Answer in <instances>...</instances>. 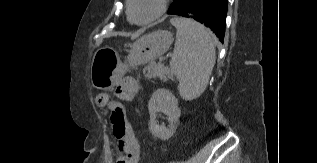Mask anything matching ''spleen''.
<instances>
[{
    "mask_svg": "<svg viewBox=\"0 0 317 163\" xmlns=\"http://www.w3.org/2000/svg\"><path fill=\"white\" fill-rule=\"evenodd\" d=\"M170 23L177 29L170 70L179 80L180 96L193 100L207 87L215 64V45L210 33L194 20L174 17Z\"/></svg>",
    "mask_w": 317,
    "mask_h": 163,
    "instance_id": "1",
    "label": "spleen"
}]
</instances>
